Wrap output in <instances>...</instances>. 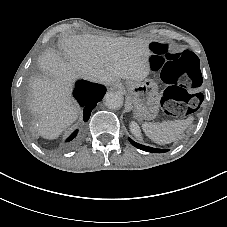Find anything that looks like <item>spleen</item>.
<instances>
[{
    "label": "spleen",
    "instance_id": "3e777b00",
    "mask_svg": "<svg viewBox=\"0 0 227 227\" xmlns=\"http://www.w3.org/2000/svg\"><path fill=\"white\" fill-rule=\"evenodd\" d=\"M193 120L194 117L189 116L185 120L144 123L142 124V129L152 141L164 145L176 141Z\"/></svg>",
    "mask_w": 227,
    "mask_h": 227
}]
</instances>
